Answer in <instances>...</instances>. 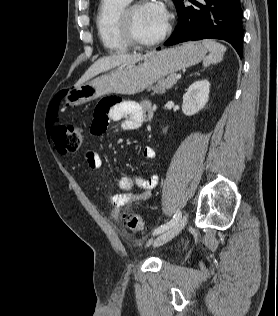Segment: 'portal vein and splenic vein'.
Masks as SVG:
<instances>
[{
    "mask_svg": "<svg viewBox=\"0 0 278 316\" xmlns=\"http://www.w3.org/2000/svg\"><path fill=\"white\" fill-rule=\"evenodd\" d=\"M181 75L180 74H178L175 78L177 79V80H179V79H181Z\"/></svg>",
    "mask_w": 278,
    "mask_h": 316,
    "instance_id": "obj_1",
    "label": "portal vein and splenic vein"
}]
</instances>
